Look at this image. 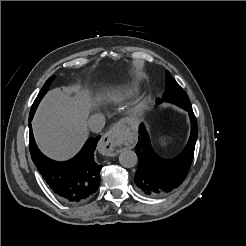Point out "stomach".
Returning <instances> with one entry per match:
<instances>
[{
    "label": "stomach",
    "mask_w": 246,
    "mask_h": 246,
    "mask_svg": "<svg viewBox=\"0 0 246 246\" xmlns=\"http://www.w3.org/2000/svg\"><path fill=\"white\" fill-rule=\"evenodd\" d=\"M133 123H134V120L132 118H125L123 120V124L126 126H131V125H133Z\"/></svg>",
    "instance_id": "1"
}]
</instances>
